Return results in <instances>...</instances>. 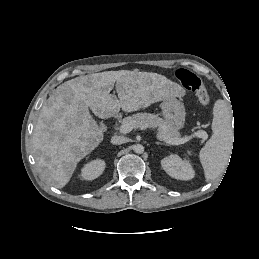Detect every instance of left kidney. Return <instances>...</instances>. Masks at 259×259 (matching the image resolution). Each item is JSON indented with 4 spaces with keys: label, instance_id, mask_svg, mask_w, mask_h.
<instances>
[{
    "label": "left kidney",
    "instance_id": "left-kidney-1",
    "mask_svg": "<svg viewBox=\"0 0 259 259\" xmlns=\"http://www.w3.org/2000/svg\"><path fill=\"white\" fill-rule=\"evenodd\" d=\"M161 165L165 172L175 179L191 180L194 178L195 172L191 163L176 154H171L163 158Z\"/></svg>",
    "mask_w": 259,
    "mask_h": 259
}]
</instances>
